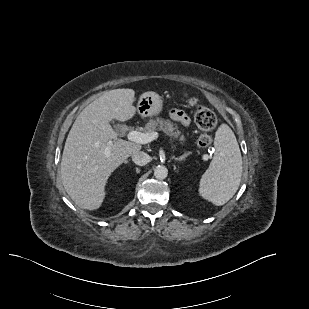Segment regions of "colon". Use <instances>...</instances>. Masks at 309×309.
Wrapping results in <instances>:
<instances>
[{"instance_id":"colon-1","label":"colon","mask_w":309,"mask_h":309,"mask_svg":"<svg viewBox=\"0 0 309 309\" xmlns=\"http://www.w3.org/2000/svg\"><path fill=\"white\" fill-rule=\"evenodd\" d=\"M187 101L191 106H196L194 121L198 128L203 132L198 138V145L200 147H207L212 142L209 132L215 128L217 124V117L211 109L205 106L197 105L195 98L190 97Z\"/></svg>"}]
</instances>
